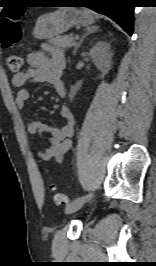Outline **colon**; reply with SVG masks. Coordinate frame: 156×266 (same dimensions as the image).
I'll list each match as a JSON object with an SVG mask.
<instances>
[{
  "mask_svg": "<svg viewBox=\"0 0 156 266\" xmlns=\"http://www.w3.org/2000/svg\"><path fill=\"white\" fill-rule=\"evenodd\" d=\"M22 15V11L15 10L7 14L0 22V29L2 34V45L4 47H11L17 44L21 40V27L18 23ZM6 66L10 72H19L22 67V58L17 54H9L6 57ZM54 190L55 186H51ZM54 201L56 204L63 205L67 202V197L62 193H56L54 195Z\"/></svg>",
  "mask_w": 156,
  "mask_h": 266,
  "instance_id": "5ec220e1",
  "label": "colon"
}]
</instances>
